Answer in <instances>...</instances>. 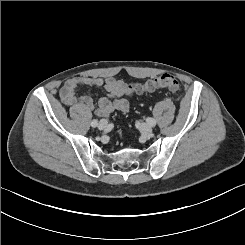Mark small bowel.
<instances>
[{
  "label": "small bowel",
  "instance_id": "obj_1",
  "mask_svg": "<svg viewBox=\"0 0 245 245\" xmlns=\"http://www.w3.org/2000/svg\"><path fill=\"white\" fill-rule=\"evenodd\" d=\"M83 86L103 87L107 95L94 103L90 96L77 94L78 89ZM131 95L127 84L114 77H73L66 80L60 90L62 102L70 107L72 118L81 125H85L92 114L107 117L115 111L128 112L130 109L128 97Z\"/></svg>",
  "mask_w": 245,
  "mask_h": 245
}]
</instances>
